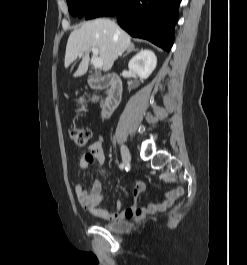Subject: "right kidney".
I'll return each instance as SVG.
<instances>
[{
    "label": "right kidney",
    "instance_id": "right-kidney-1",
    "mask_svg": "<svg viewBox=\"0 0 247 265\" xmlns=\"http://www.w3.org/2000/svg\"><path fill=\"white\" fill-rule=\"evenodd\" d=\"M157 65V58L153 51L149 49L141 50L128 63L131 72L138 75L140 79H147Z\"/></svg>",
    "mask_w": 247,
    "mask_h": 265
}]
</instances>
